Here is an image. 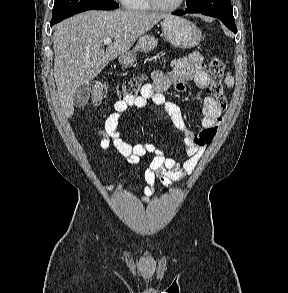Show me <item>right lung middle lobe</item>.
Listing matches in <instances>:
<instances>
[{
	"instance_id": "right-lung-middle-lobe-1",
	"label": "right lung middle lobe",
	"mask_w": 288,
	"mask_h": 293,
	"mask_svg": "<svg viewBox=\"0 0 288 293\" xmlns=\"http://www.w3.org/2000/svg\"><path fill=\"white\" fill-rule=\"evenodd\" d=\"M118 7L114 0H55L51 22H60L86 10H111Z\"/></svg>"
}]
</instances>
